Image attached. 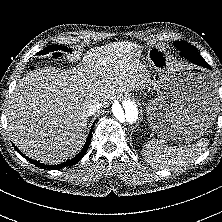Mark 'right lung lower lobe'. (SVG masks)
Returning <instances> with one entry per match:
<instances>
[{
  "label": "right lung lower lobe",
  "mask_w": 222,
  "mask_h": 222,
  "mask_svg": "<svg viewBox=\"0 0 222 222\" xmlns=\"http://www.w3.org/2000/svg\"><path fill=\"white\" fill-rule=\"evenodd\" d=\"M91 137H92V129H91V131L89 132V135H88V137H87L86 143H85L84 147L82 148V150L80 151V153H79L77 156H75L74 158H72L71 160H68V161H66V162H64V163H62V164H58V165H45V164L39 163V162H37V161H35V160H33V159H31V158H28L27 156L23 155L16 147H15V149H16L24 158H26V160H28V161L31 162L32 164H34V165H36V166H38V167H40V168H42V169H47V170H48V169H53V170L55 169V170H57V169H62V168H64V167H68V166L70 167V166L76 164L78 161H80V159L83 158L84 155H85L86 152H87V149H88L89 144H90V141H91Z\"/></svg>",
  "instance_id": "obj_1"
}]
</instances>
